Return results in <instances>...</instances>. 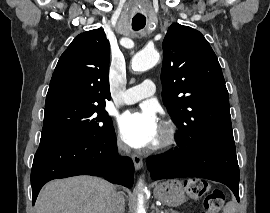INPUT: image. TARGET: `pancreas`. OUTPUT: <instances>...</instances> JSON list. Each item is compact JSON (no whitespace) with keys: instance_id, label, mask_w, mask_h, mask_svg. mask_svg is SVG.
I'll return each instance as SVG.
<instances>
[{"instance_id":"obj_1","label":"pancreas","mask_w":270,"mask_h":213,"mask_svg":"<svg viewBox=\"0 0 270 213\" xmlns=\"http://www.w3.org/2000/svg\"><path fill=\"white\" fill-rule=\"evenodd\" d=\"M167 213H177V212H167Z\"/></svg>"}]
</instances>
